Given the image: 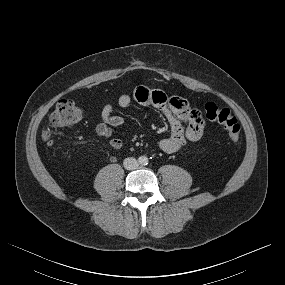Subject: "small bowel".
Segmentation results:
<instances>
[{
    "label": "small bowel",
    "mask_w": 285,
    "mask_h": 285,
    "mask_svg": "<svg viewBox=\"0 0 285 285\" xmlns=\"http://www.w3.org/2000/svg\"><path fill=\"white\" fill-rule=\"evenodd\" d=\"M132 101L144 106L160 109L170 125V135L157 142L158 148L168 154L176 153L187 142L199 140L204 132L205 122L200 110L191 107L180 97H168L163 91L153 90L146 86H138L132 94L124 93L119 96L117 104L120 108H128ZM114 106L106 104L101 112V120L96 126L99 136L108 139L115 151L122 148V141L115 137L114 129L124 125L121 116L114 115ZM185 123V126L182 125Z\"/></svg>",
    "instance_id": "1"
}]
</instances>
